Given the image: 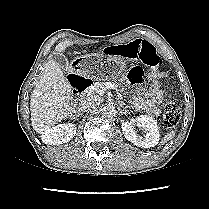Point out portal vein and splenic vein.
<instances>
[{
  "mask_svg": "<svg viewBox=\"0 0 209 209\" xmlns=\"http://www.w3.org/2000/svg\"><path fill=\"white\" fill-rule=\"evenodd\" d=\"M107 89H115L117 90L118 89V86L114 83H111V82H105L103 83V85L97 90V92L99 94H104Z\"/></svg>",
  "mask_w": 209,
  "mask_h": 209,
  "instance_id": "obj_1",
  "label": "portal vein and splenic vein"
}]
</instances>
